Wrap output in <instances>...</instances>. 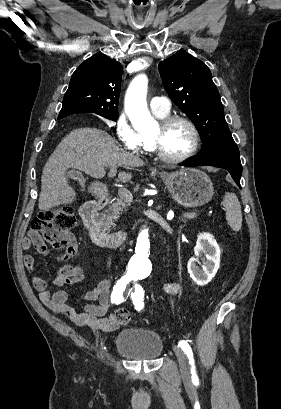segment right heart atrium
Wrapping results in <instances>:
<instances>
[{"instance_id": "d8ad5b80", "label": "right heart atrium", "mask_w": 281, "mask_h": 409, "mask_svg": "<svg viewBox=\"0 0 281 409\" xmlns=\"http://www.w3.org/2000/svg\"><path fill=\"white\" fill-rule=\"evenodd\" d=\"M129 119V115H118L116 121L114 122V126L122 146L125 149L131 150L138 146L139 135L131 126Z\"/></svg>"}]
</instances>
